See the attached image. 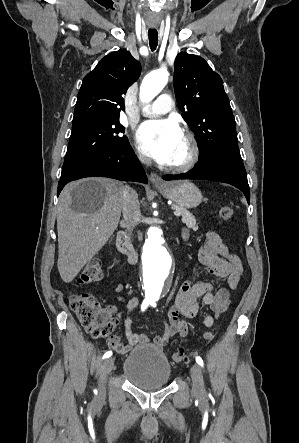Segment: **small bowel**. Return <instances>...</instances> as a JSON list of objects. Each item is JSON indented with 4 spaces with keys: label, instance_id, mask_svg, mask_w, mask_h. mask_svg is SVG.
Listing matches in <instances>:
<instances>
[{
    "label": "small bowel",
    "instance_id": "1",
    "mask_svg": "<svg viewBox=\"0 0 299 443\" xmlns=\"http://www.w3.org/2000/svg\"><path fill=\"white\" fill-rule=\"evenodd\" d=\"M183 238H187L188 233L183 230ZM198 259L204 270L219 279H226L228 287H220L216 292L208 282H193L186 280L178 289L175 301L168 310V321L163 325V333L156 335L150 341L144 333H135L132 330L131 314L138 308L139 299L132 297L126 303L127 316L124 319L126 342L122 341L120 333L114 334L109 339V347L119 354H126L137 345L152 344L162 348L167 345L176 335L184 337L188 332L186 318L198 316L201 304L210 308V313L204 317V325L211 327L215 319L228 309L230 304V289L235 290L244 276L245 270L242 261L225 246L216 232L206 233L205 242L199 249ZM123 286H116V293H120ZM121 302L124 301L119 296ZM111 310L117 313L116 308Z\"/></svg>",
    "mask_w": 299,
    "mask_h": 443
}]
</instances>
